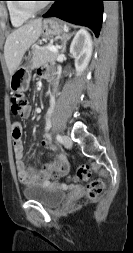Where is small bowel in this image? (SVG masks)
Here are the masks:
<instances>
[{
    "mask_svg": "<svg viewBox=\"0 0 133 253\" xmlns=\"http://www.w3.org/2000/svg\"><path fill=\"white\" fill-rule=\"evenodd\" d=\"M40 75L43 78L49 77V71L46 68L40 69ZM31 114V108L27 107L25 109L23 118H28ZM49 117H46V137L41 141V147L43 149L56 150V146L51 141L48 130H49ZM22 132L23 128L20 122H14L12 124V139H13V149L16 161V169L19 181L24 185H33L46 181L53 173H60L61 176H64L68 170L69 165L66 158L63 155L54 156L53 160L45 164L40 173L27 164L24 160V145L22 142Z\"/></svg>",
    "mask_w": 133,
    "mask_h": 253,
    "instance_id": "small-bowel-1",
    "label": "small bowel"
}]
</instances>
